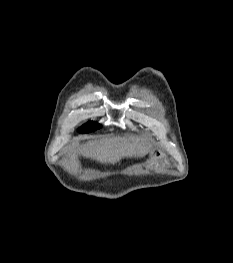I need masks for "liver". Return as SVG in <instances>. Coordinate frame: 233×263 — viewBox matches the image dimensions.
Here are the masks:
<instances>
[{"mask_svg": "<svg viewBox=\"0 0 233 263\" xmlns=\"http://www.w3.org/2000/svg\"><path fill=\"white\" fill-rule=\"evenodd\" d=\"M150 149L146 139L125 136L88 141L82 147V154L101 163L114 164L124 157H143Z\"/></svg>", "mask_w": 233, "mask_h": 263, "instance_id": "liver-1", "label": "liver"}]
</instances>
